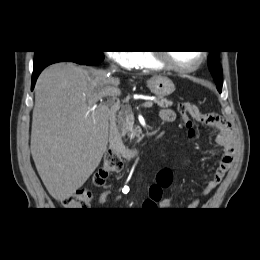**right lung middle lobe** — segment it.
Listing matches in <instances>:
<instances>
[{
  "label": "right lung middle lobe",
  "mask_w": 260,
  "mask_h": 260,
  "mask_svg": "<svg viewBox=\"0 0 260 260\" xmlns=\"http://www.w3.org/2000/svg\"><path fill=\"white\" fill-rule=\"evenodd\" d=\"M45 54H46V52L36 51V52H35L34 61L40 59V58H41L43 55H45Z\"/></svg>",
  "instance_id": "right-lung-middle-lobe-1"
}]
</instances>
